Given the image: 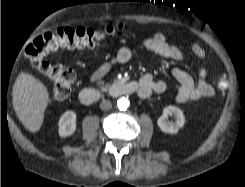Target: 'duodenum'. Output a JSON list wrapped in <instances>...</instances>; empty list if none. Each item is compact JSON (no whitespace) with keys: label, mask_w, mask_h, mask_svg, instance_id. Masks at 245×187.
I'll return each mask as SVG.
<instances>
[{"label":"duodenum","mask_w":245,"mask_h":187,"mask_svg":"<svg viewBox=\"0 0 245 187\" xmlns=\"http://www.w3.org/2000/svg\"><path fill=\"white\" fill-rule=\"evenodd\" d=\"M140 92V84L136 81H117L104 88H83L79 92V99L85 104L94 103L105 96L120 97L137 94Z\"/></svg>","instance_id":"410a0bca"}]
</instances>
